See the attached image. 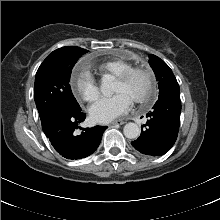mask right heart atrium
<instances>
[{"mask_svg": "<svg viewBox=\"0 0 220 220\" xmlns=\"http://www.w3.org/2000/svg\"><path fill=\"white\" fill-rule=\"evenodd\" d=\"M75 93L84 101L92 102L96 100L100 94V89L95 78L87 71L81 72L75 79Z\"/></svg>", "mask_w": 220, "mask_h": 220, "instance_id": "d8ad5b80", "label": "right heart atrium"}]
</instances>
